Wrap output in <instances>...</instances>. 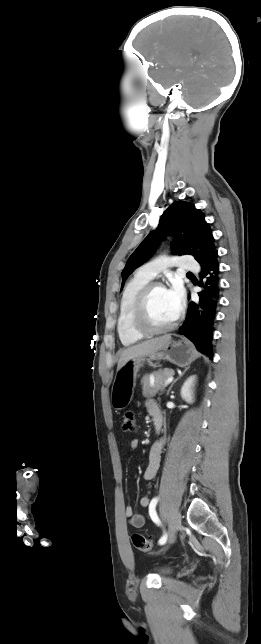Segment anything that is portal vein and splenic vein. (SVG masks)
<instances>
[{
	"mask_svg": "<svg viewBox=\"0 0 261 644\" xmlns=\"http://www.w3.org/2000/svg\"><path fill=\"white\" fill-rule=\"evenodd\" d=\"M173 379H174V377H173V376H170V377L165 381V386H166V385H168L169 383H171V382L173 381Z\"/></svg>",
	"mask_w": 261,
	"mask_h": 644,
	"instance_id": "18ae733b",
	"label": "portal vein and splenic vein"
}]
</instances>
